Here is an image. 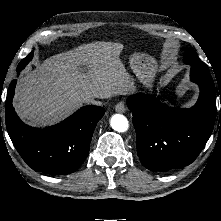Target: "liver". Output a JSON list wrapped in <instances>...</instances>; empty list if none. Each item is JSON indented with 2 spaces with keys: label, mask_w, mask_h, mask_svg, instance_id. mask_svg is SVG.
I'll list each match as a JSON object with an SVG mask.
<instances>
[{
  "label": "liver",
  "mask_w": 221,
  "mask_h": 221,
  "mask_svg": "<svg viewBox=\"0 0 221 221\" xmlns=\"http://www.w3.org/2000/svg\"><path fill=\"white\" fill-rule=\"evenodd\" d=\"M121 43L93 42L51 56L18 81L14 108L35 126L59 122L86 97L106 99L135 88L120 59Z\"/></svg>",
  "instance_id": "liver-1"
}]
</instances>
